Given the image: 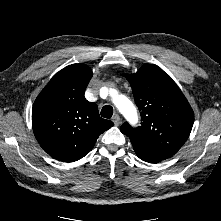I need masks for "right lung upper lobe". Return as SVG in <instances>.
Masks as SVG:
<instances>
[{"label":"right lung upper lobe","instance_id":"right-lung-upper-lobe-1","mask_svg":"<svg viewBox=\"0 0 221 221\" xmlns=\"http://www.w3.org/2000/svg\"><path fill=\"white\" fill-rule=\"evenodd\" d=\"M92 75L84 64L69 65L50 80L33 104L35 137L54 159H81L92 150L99 135L114 125L101 118L98 106L84 97Z\"/></svg>","mask_w":221,"mask_h":221}]
</instances>
